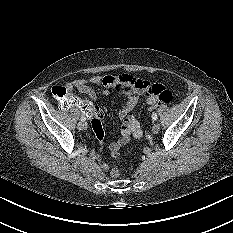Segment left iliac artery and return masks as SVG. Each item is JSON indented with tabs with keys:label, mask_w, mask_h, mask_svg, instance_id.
<instances>
[{
	"label": "left iliac artery",
	"mask_w": 233,
	"mask_h": 233,
	"mask_svg": "<svg viewBox=\"0 0 233 233\" xmlns=\"http://www.w3.org/2000/svg\"><path fill=\"white\" fill-rule=\"evenodd\" d=\"M157 118H158V117H157V114H156L155 112H153V113H152V119H153V120H157Z\"/></svg>",
	"instance_id": "1"
}]
</instances>
